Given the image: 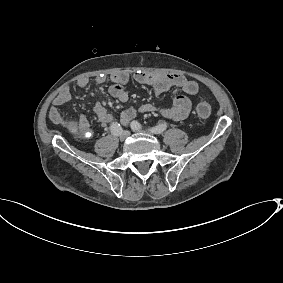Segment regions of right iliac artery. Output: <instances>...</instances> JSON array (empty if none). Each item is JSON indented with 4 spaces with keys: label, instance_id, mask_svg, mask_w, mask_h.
<instances>
[{
    "label": "right iliac artery",
    "instance_id": "right-iliac-artery-1",
    "mask_svg": "<svg viewBox=\"0 0 283 283\" xmlns=\"http://www.w3.org/2000/svg\"><path fill=\"white\" fill-rule=\"evenodd\" d=\"M110 130H111V133H113L114 135L118 136L122 132V127L120 126L119 123L113 122L111 124V126H110Z\"/></svg>",
    "mask_w": 283,
    "mask_h": 283
}]
</instances>
